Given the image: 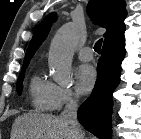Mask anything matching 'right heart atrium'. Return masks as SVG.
<instances>
[{"instance_id":"obj_1","label":"right heart atrium","mask_w":141,"mask_h":139,"mask_svg":"<svg viewBox=\"0 0 141 139\" xmlns=\"http://www.w3.org/2000/svg\"><path fill=\"white\" fill-rule=\"evenodd\" d=\"M77 100L78 95L72 88L53 84L50 110L60 111L64 107L74 105Z\"/></svg>"}]
</instances>
